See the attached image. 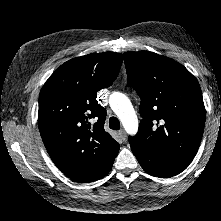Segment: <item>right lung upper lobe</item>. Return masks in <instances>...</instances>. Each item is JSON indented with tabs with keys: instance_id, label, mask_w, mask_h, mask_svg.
<instances>
[{
	"instance_id": "cb5924a9",
	"label": "right lung upper lobe",
	"mask_w": 221,
	"mask_h": 221,
	"mask_svg": "<svg viewBox=\"0 0 221 221\" xmlns=\"http://www.w3.org/2000/svg\"><path fill=\"white\" fill-rule=\"evenodd\" d=\"M122 61L115 52L73 58L54 71L40 92L44 145L59 170L76 182L106 176L119 152V144L104 130L107 113L96 94L112 85Z\"/></svg>"
}]
</instances>
